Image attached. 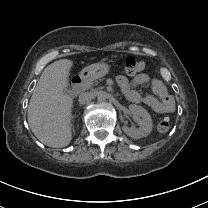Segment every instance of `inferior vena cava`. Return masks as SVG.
Returning <instances> with one entry per match:
<instances>
[{
	"label": "inferior vena cava",
	"instance_id": "1",
	"mask_svg": "<svg viewBox=\"0 0 208 208\" xmlns=\"http://www.w3.org/2000/svg\"><path fill=\"white\" fill-rule=\"evenodd\" d=\"M92 99H93V94L89 92H85L79 96L78 100L80 104L85 105L90 103Z\"/></svg>",
	"mask_w": 208,
	"mask_h": 208
}]
</instances>
